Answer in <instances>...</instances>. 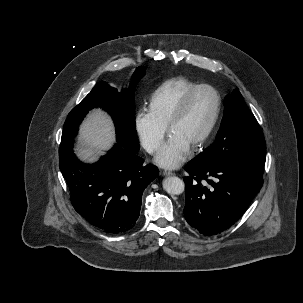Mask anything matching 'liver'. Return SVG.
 <instances>
[{"mask_svg": "<svg viewBox=\"0 0 303 303\" xmlns=\"http://www.w3.org/2000/svg\"><path fill=\"white\" fill-rule=\"evenodd\" d=\"M77 155L86 161H93L99 153L109 149L115 140L114 127L110 117L96 109L92 111L80 126Z\"/></svg>", "mask_w": 303, "mask_h": 303, "instance_id": "obj_1", "label": "liver"}]
</instances>
